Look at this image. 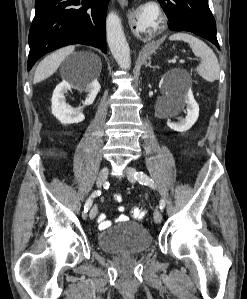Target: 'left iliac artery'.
I'll use <instances>...</instances> for the list:
<instances>
[{"label":"left iliac artery","instance_id":"left-iliac-artery-1","mask_svg":"<svg viewBox=\"0 0 247 299\" xmlns=\"http://www.w3.org/2000/svg\"><path fill=\"white\" fill-rule=\"evenodd\" d=\"M135 178H136V180L139 181L140 184H142V185L144 184V185H147V186H149L151 188H155V184H154L153 180L150 179V177L148 175H146L145 173H143V172H136L135 173ZM159 208H160L161 211L164 210V208H165V201H164V199L160 200Z\"/></svg>","mask_w":247,"mask_h":299}]
</instances>
